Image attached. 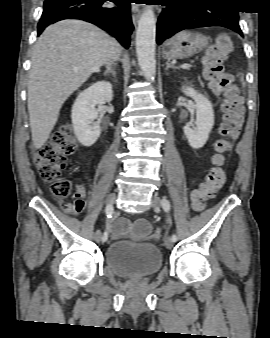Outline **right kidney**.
Listing matches in <instances>:
<instances>
[{
	"instance_id": "obj_1",
	"label": "right kidney",
	"mask_w": 270,
	"mask_h": 338,
	"mask_svg": "<svg viewBox=\"0 0 270 338\" xmlns=\"http://www.w3.org/2000/svg\"><path fill=\"white\" fill-rule=\"evenodd\" d=\"M113 90L110 82L99 81L81 92L72 107L71 119L75 136L86 147L92 146L100 136V122L96 105L110 102Z\"/></svg>"
}]
</instances>
